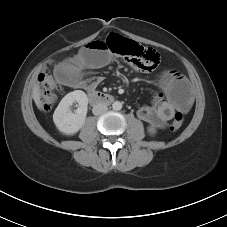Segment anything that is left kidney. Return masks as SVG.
Segmentation results:
<instances>
[{"instance_id": "left-kidney-1", "label": "left kidney", "mask_w": 227, "mask_h": 227, "mask_svg": "<svg viewBox=\"0 0 227 227\" xmlns=\"http://www.w3.org/2000/svg\"><path fill=\"white\" fill-rule=\"evenodd\" d=\"M149 132H150V133H155V132H156V130H155V128L150 127V128H149Z\"/></svg>"}]
</instances>
